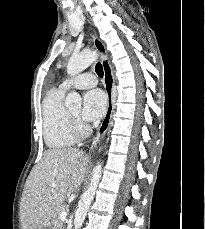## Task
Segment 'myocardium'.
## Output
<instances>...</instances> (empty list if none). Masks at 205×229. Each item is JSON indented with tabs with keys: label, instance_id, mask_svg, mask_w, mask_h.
I'll use <instances>...</instances> for the list:
<instances>
[{
	"label": "myocardium",
	"instance_id": "1",
	"mask_svg": "<svg viewBox=\"0 0 205 229\" xmlns=\"http://www.w3.org/2000/svg\"><path fill=\"white\" fill-rule=\"evenodd\" d=\"M69 120L71 125V130L76 138H84L88 135L89 129L86 125H84L78 116H75L68 111Z\"/></svg>",
	"mask_w": 205,
	"mask_h": 229
}]
</instances>
